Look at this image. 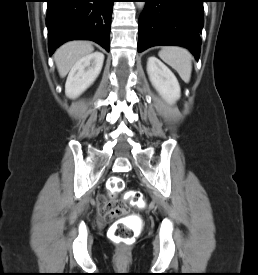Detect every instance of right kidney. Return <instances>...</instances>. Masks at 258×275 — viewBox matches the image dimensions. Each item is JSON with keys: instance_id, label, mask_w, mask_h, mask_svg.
Segmentation results:
<instances>
[{"instance_id": "1", "label": "right kidney", "mask_w": 258, "mask_h": 275, "mask_svg": "<svg viewBox=\"0 0 258 275\" xmlns=\"http://www.w3.org/2000/svg\"><path fill=\"white\" fill-rule=\"evenodd\" d=\"M103 61L104 55L100 52L91 53L77 61L66 80V95L75 98L84 92L100 74Z\"/></svg>"}]
</instances>
